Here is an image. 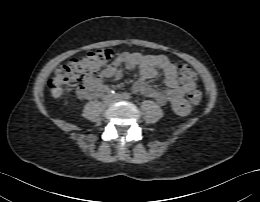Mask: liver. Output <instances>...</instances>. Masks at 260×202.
<instances>
[{"mask_svg": "<svg viewBox=\"0 0 260 202\" xmlns=\"http://www.w3.org/2000/svg\"><path fill=\"white\" fill-rule=\"evenodd\" d=\"M56 88L51 89L52 96L54 98H59L64 92V89L59 85L57 81H55Z\"/></svg>", "mask_w": 260, "mask_h": 202, "instance_id": "6515ba94", "label": "liver"}]
</instances>
